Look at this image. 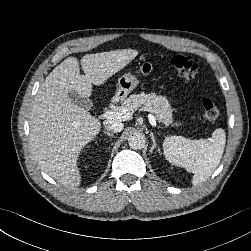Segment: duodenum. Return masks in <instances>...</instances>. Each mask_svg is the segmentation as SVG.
Listing matches in <instances>:
<instances>
[{
  "mask_svg": "<svg viewBox=\"0 0 251 251\" xmlns=\"http://www.w3.org/2000/svg\"><path fill=\"white\" fill-rule=\"evenodd\" d=\"M118 100H119V98L114 97L112 102H113V103H117V102H118Z\"/></svg>",
  "mask_w": 251,
  "mask_h": 251,
  "instance_id": "1",
  "label": "duodenum"
}]
</instances>
